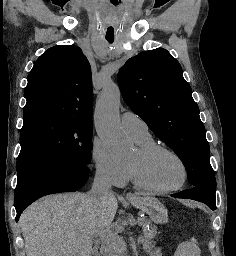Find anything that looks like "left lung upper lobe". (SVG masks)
Returning <instances> with one entry per match:
<instances>
[{
    "instance_id": "left-lung-upper-lobe-1",
    "label": "left lung upper lobe",
    "mask_w": 236,
    "mask_h": 256,
    "mask_svg": "<svg viewBox=\"0 0 236 256\" xmlns=\"http://www.w3.org/2000/svg\"><path fill=\"white\" fill-rule=\"evenodd\" d=\"M118 83L127 105L181 159L189 184L216 189L205 127L179 62L162 48L141 52L120 69Z\"/></svg>"
}]
</instances>
